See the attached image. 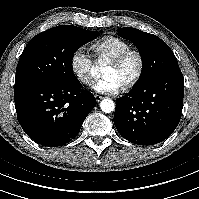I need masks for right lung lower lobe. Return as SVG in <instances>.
<instances>
[{"label": "right lung lower lobe", "instance_id": "98d812e1", "mask_svg": "<svg viewBox=\"0 0 199 199\" xmlns=\"http://www.w3.org/2000/svg\"><path fill=\"white\" fill-rule=\"evenodd\" d=\"M15 108L24 132L42 146L70 142L95 107L93 94L78 79L68 82L29 80L14 86Z\"/></svg>", "mask_w": 199, "mask_h": 199}]
</instances>
